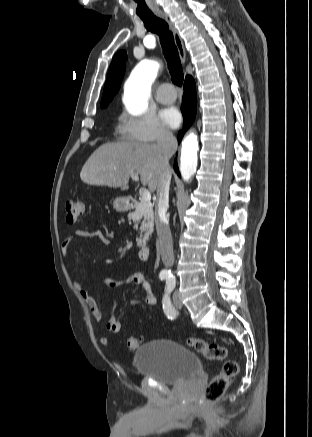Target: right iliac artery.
Segmentation results:
<instances>
[{
    "label": "right iliac artery",
    "instance_id": "obj_1",
    "mask_svg": "<svg viewBox=\"0 0 312 437\" xmlns=\"http://www.w3.org/2000/svg\"><path fill=\"white\" fill-rule=\"evenodd\" d=\"M166 277H167V276L164 275V274H161V275H160V278H161V279H165Z\"/></svg>",
    "mask_w": 312,
    "mask_h": 437
}]
</instances>
